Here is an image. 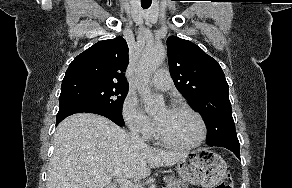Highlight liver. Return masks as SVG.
I'll return each mask as SVG.
<instances>
[{"instance_id":"liver-1","label":"liver","mask_w":292,"mask_h":188,"mask_svg":"<svg viewBox=\"0 0 292 188\" xmlns=\"http://www.w3.org/2000/svg\"><path fill=\"white\" fill-rule=\"evenodd\" d=\"M184 156L136 145L107 118L78 113L55 131L46 188H109L112 178L144 179L152 168L172 166Z\"/></svg>"}]
</instances>
